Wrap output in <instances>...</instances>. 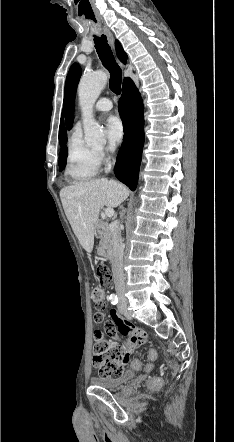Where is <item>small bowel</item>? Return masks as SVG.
<instances>
[{
    "label": "small bowel",
    "mask_w": 234,
    "mask_h": 442,
    "mask_svg": "<svg viewBox=\"0 0 234 442\" xmlns=\"http://www.w3.org/2000/svg\"><path fill=\"white\" fill-rule=\"evenodd\" d=\"M104 309V305L102 307ZM101 309V310H102ZM111 319H106L103 325V335L106 337H113L117 334V328L121 334L125 337V341L120 339L118 344L123 346L124 350L132 349L136 350L139 346H142L147 341L146 333L141 330H136L132 324L128 323L126 319H121L115 310L110 311ZM104 317L101 311L94 315V321L97 323L103 322ZM102 331V328H99Z\"/></svg>",
    "instance_id": "1"
}]
</instances>
